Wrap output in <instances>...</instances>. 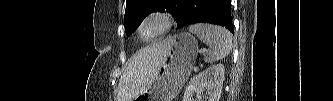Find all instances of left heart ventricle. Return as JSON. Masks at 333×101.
I'll use <instances>...</instances> for the list:
<instances>
[{
    "label": "left heart ventricle",
    "instance_id": "obj_1",
    "mask_svg": "<svg viewBox=\"0 0 333 101\" xmlns=\"http://www.w3.org/2000/svg\"><path fill=\"white\" fill-rule=\"evenodd\" d=\"M160 27L159 22L157 21H151L147 23L143 28V35L144 36H150L154 34Z\"/></svg>",
    "mask_w": 333,
    "mask_h": 101
}]
</instances>
